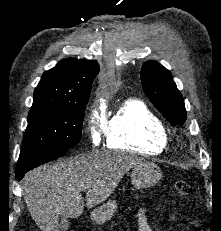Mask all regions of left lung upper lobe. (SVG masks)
<instances>
[{
  "mask_svg": "<svg viewBox=\"0 0 221 231\" xmlns=\"http://www.w3.org/2000/svg\"><path fill=\"white\" fill-rule=\"evenodd\" d=\"M141 82L145 94L171 124L181 126L185 123L187 114L182 94L166 68L155 61L145 62Z\"/></svg>",
  "mask_w": 221,
  "mask_h": 231,
  "instance_id": "5c2ea615",
  "label": "left lung upper lobe"
}]
</instances>
